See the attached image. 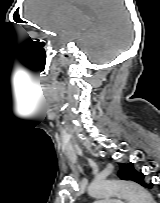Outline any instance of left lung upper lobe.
Listing matches in <instances>:
<instances>
[{"label": "left lung upper lobe", "instance_id": "5c2ea615", "mask_svg": "<svg viewBox=\"0 0 160 203\" xmlns=\"http://www.w3.org/2000/svg\"><path fill=\"white\" fill-rule=\"evenodd\" d=\"M118 176H119V178L124 179V180H132V181L138 182L139 184H141L144 187L146 185V183L143 182L144 174L137 172L133 168L132 163H128V164L121 163Z\"/></svg>", "mask_w": 160, "mask_h": 203}]
</instances>
